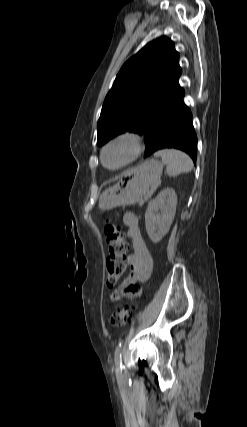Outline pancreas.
I'll use <instances>...</instances> for the list:
<instances>
[{"label": "pancreas", "instance_id": "1", "mask_svg": "<svg viewBox=\"0 0 247 427\" xmlns=\"http://www.w3.org/2000/svg\"><path fill=\"white\" fill-rule=\"evenodd\" d=\"M155 187H156V184H154L152 186V189L144 196V199L140 201V204H143L145 201H147L150 198Z\"/></svg>", "mask_w": 247, "mask_h": 427}]
</instances>
